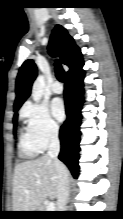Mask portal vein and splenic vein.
I'll list each match as a JSON object with an SVG mask.
<instances>
[{"mask_svg":"<svg viewBox=\"0 0 123 219\" xmlns=\"http://www.w3.org/2000/svg\"><path fill=\"white\" fill-rule=\"evenodd\" d=\"M26 193H29V191H26ZM46 211H55V204L53 202L48 203Z\"/></svg>","mask_w":123,"mask_h":219,"instance_id":"18ae733b","label":"portal vein and splenic vein"}]
</instances>
